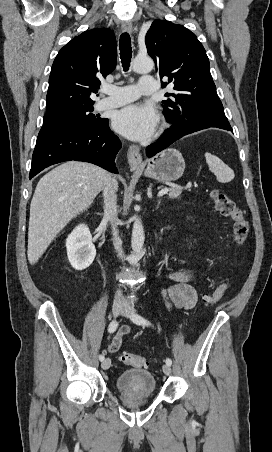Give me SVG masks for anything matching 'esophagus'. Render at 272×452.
<instances>
[{
    "label": "esophagus",
    "instance_id": "obj_1",
    "mask_svg": "<svg viewBox=\"0 0 272 452\" xmlns=\"http://www.w3.org/2000/svg\"><path fill=\"white\" fill-rule=\"evenodd\" d=\"M122 30L124 32H132V24L130 22H124L122 24ZM128 163L131 168L140 167L142 164V155L140 153V148L136 145H132L129 148V152L127 155Z\"/></svg>",
    "mask_w": 272,
    "mask_h": 452
}]
</instances>
